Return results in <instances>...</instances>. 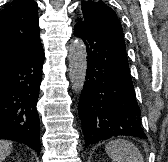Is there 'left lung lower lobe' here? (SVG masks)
I'll return each instance as SVG.
<instances>
[{
  "mask_svg": "<svg viewBox=\"0 0 168 162\" xmlns=\"http://www.w3.org/2000/svg\"><path fill=\"white\" fill-rule=\"evenodd\" d=\"M74 35L84 41L88 54L79 102L85 146L121 135L147 139L125 45L87 21H77Z\"/></svg>",
  "mask_w": 168,
  "mask_h": 162,
  "instance_id": "0a47b994",
  "label": "left lung lower lobe"
}]
</instances>
